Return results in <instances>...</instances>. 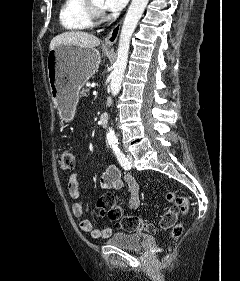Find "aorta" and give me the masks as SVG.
<instances>
[{
  "label": "aorta",
  "mask_w": 240,
  "mask_h": 281,
  "mask_svg": "<svg viewBox=\"0 0 240 281\" xmlns=\"http://www.w3.org/2000/svg\"><path fill=\"white\" fill-rule=\"evenodd\" d=\"M149 0H132L128 12L125 16L117 49V58L114 69L111 73L110 89L113 96H116L120 89L122 79L127 66L130 40L134 30L140 20ZM107 141L113 143L117 141L115 131L109 128L107 131Z\"/></svg>",
  "instance_id": "obj_1"
}]
</instances>
